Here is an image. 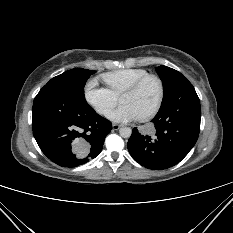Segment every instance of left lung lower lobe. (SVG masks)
I'll return each instance as SVG.
<instances>
[{
  "label": "left lung lower lobe",
  "instance_id": "obj_1",
  "mask_svg": "<svg viewBox=\"0 0 233 233\" xmlns=\"http://www.w3.org/2000/svg\"><path fill=\"white\" fill-rule=\"evenodd\" d=\"M200 101L192 84L181 80L152 119L155 135L133 128L128 150L140 165L163 170L178 164L195 145L200 131Z\"/></svg>",
  "mask_w": 233,
  "mask_h": 233
}]
</instances>
